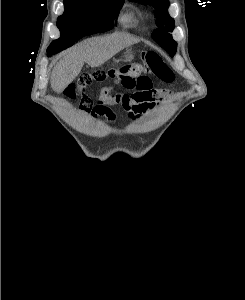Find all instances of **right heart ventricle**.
Wrapping results in <instances>:
<instances>
[{
  "label": "right heart ventricle",
  "mask_w": 245,
  "mask_h": 300,
  "mask_svg": "<svg viewBox=\"0 0 245 300\" xmlns=\"http://www.w3.org/2000/svg\"><path fill=\"white\" fill-rule=\"evenodd\" d=\"M124 21L127 22V23L131 22L132 21V17L130 15H127V16L124 17Z\"/></svg>",
  "instance_id": "1"
}]
</instances>
